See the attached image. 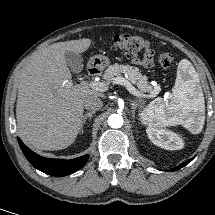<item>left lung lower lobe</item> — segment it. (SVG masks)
<instances>
[{
    "label": "left lung lower lobe",
    "instance_id": "1",
    "mask_svg": "<svg viewBox=\"0 0 215 215\" xmlns=\"http://www.w3.org/2000/svg\"><path fill=\"white\" fill-rule=\"evenodd\" d=\"M192 159H193V158H192ZM192 159H191V160H192ZM191 160H190V161H191ZM190 161L180 164L179 166L175 167V168L172 169L171 171L179 170L180 168L184 167V166H185L187 163H189Z\"/></svg>",
    "mask_w": 215,
    "mask_h": 215
}]
</instances>
